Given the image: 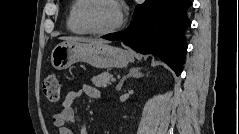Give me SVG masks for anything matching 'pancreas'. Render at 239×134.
<instances>
[{
  "mask_svg": "<svg viewBox=\"0 0 239 134\" xmlns=\"http://www.w3.org/2000/svg\"><path fill=\"white\" fill-rule=\"evenodd\" d=\"M113 78L108 72H104L92 78V83L98 88H105L111 84L110 80Z\"/></svg>",
  "mask_w": 239,
  "mask_h": 134,
  "instance_id": "cf45deb5",
  "label": "pancreas"
}]
</instances>
